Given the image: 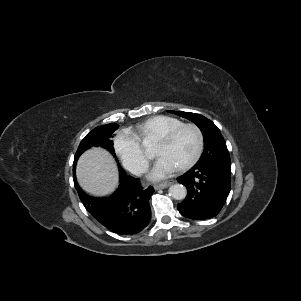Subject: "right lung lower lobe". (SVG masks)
<instances>
[{"mask_svg": "<svg viewBox=\"0 0 301 301\" xmlns=\"http://www.w3.org/2000/svg\"><path fill=\"white\" fill-rule=\"evenodd\" d=\"M75 171V167H74ZM120 185L109 197L97 198L85 194L74 184L86 210L108 230L118 235H133L142 231L150 222L149 199L154 188H143L137 178L126 175L119 167Z\"/></svg>", "mask_w": 301, "mask_h": 301, "instance_id": "obj_1", "label": "right lung lower lobe"}]
</instances>
